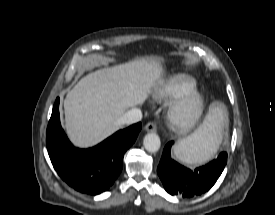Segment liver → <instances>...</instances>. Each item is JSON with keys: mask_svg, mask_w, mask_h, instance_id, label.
<instances>
[{"mask_svg": "<svg viewBox=\"0 0 275 215\" xmlns=\"http://www.w3.org/2000/svg\"><path fill=\"white\" fill-rule=\"evenodd\" d=\"M163 65L141 57L89 73L64 100L65 129L78 147L93 146L120 128L117 120L143 104L160 83Z\"/></svg>", "mask_w": 275, "mask_h": 215, "instance_id": "obj_1", "label": "liver"}]
</instances>
